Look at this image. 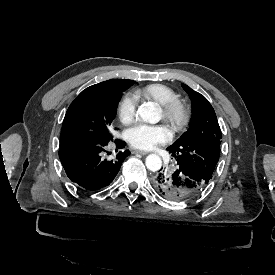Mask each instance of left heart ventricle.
Returning <instances> with one entry per match:
<instances>
[{"label":"left heart ventricle","mask_w":275,"mask_h":275,"mask_svg":"<svg viewBox=\"0 0 275 275\" xmlns=\"http://www.w3.org/2000/svg\"><path fill=\"white\" fill-rule=\"evenodd\" d=\"M163 115H162V111L160 109V119H162ZM167 125L172 129V124L170 122H166Z\"/></svg>","instance_id":"1"}]
</instances>
